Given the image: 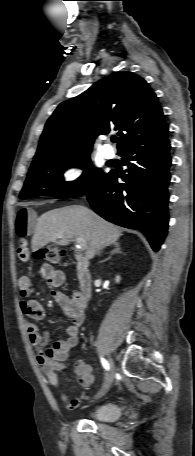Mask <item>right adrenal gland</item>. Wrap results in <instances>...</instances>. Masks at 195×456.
<instances>
[{
  "label": "right adrenal gland",
  "mask_w": 195,
  "mask_h": 456,
  "mask_svg": "<svg viewBox=\"0 0 195 456\" xmlns=\"http://www.w3.org/2000/svg\"><path fill=\"white\" fill-rule=\"evenodd\" d=\"M115 253H120V254L122 253L119 243H114L113 244V249L110 252V255L105 260H103L101 262L109 260L111 258V256L114 255Z\"/></svg>",
  "instance_id": "obj_1"
}]
</instances>
